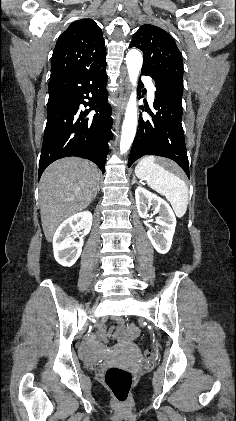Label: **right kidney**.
Returning a JSON list of instances; mask_svg holds the SVG:
<instances>
[{"instance_id": "1", "label": "right kidney", "mask_w": 236, "mask_h": 421, "mask_svg": "<svg viewBox=\"0 0 236 421\" xmlns=\"http://www.w3.org/2000/svg\"><path fill=\"white\" fill-rule=\"evenodd\" d=\"M91 227L92 215L89 211H82V213L69 217L58 227L53 237V253L55 261L59 265L72 267L76 263L82 253L83 237L90 233ZM75 231H83V233H80L79 243H76L71 237Z\"/></svg>"}]
</instances>
